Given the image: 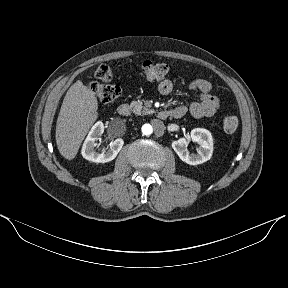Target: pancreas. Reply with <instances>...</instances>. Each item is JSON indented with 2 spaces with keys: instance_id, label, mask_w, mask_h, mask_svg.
Segmentation results:
<instances>
[{
  "instance_id": "obj_1",
  "label": "pancreas",
  "mask_w": 288,
  "mask_h": 288,
  "mask_svg": "<svg viewBox=\"0 0 288 288\" xmlns=\"http://www.w3.org/2000/svg\"><path fill=\"white\" fill-rule=\"evenodd\" d=\"M130 107L132 108L133 112L137 115H148L154 112L152 109L143 106V103L139 100L132 101L130 103Z\"/></svg>"
}]
</instances>
